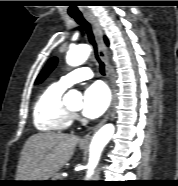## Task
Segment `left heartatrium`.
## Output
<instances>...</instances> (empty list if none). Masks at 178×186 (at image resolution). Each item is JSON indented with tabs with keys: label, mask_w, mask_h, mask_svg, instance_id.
I'll return each mask as SVG.
<instances>
[{
	"label": "left heart atrium",
	"mask_w": 178,
	"mask_h": 186,
	"mask_svg": "<svg viewBox=\"0 0 178 186\" xmlns=\"http://www.w3.org/2000/svg\"><path fill=\"white\" fill-rule=\"evenodd\" d=\"M110 95L101 82L91 84L84 93L82 114L87 118H98L107 109Z\"/></svg>",
	"instance_id": "left-heart-atrium-1"
}]
</instances>
